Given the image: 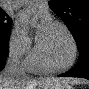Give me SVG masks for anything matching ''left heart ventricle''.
<instances>
[{"mask_svg":"<svg viewBox=\"0 0 89 89\" xmlns=\"http://www.w3.org/2000/svg\"><path fill=\"white\" fill-rule=\"evenodd\" d=\"M38 40L51 65L63 66L70 62L73 54L72 43L62 28L51 24Z\"/></svg>","mask_w":89,"mask_h":89,"instance_id":"1","label":"left heart ventricle"}]
</instances>
